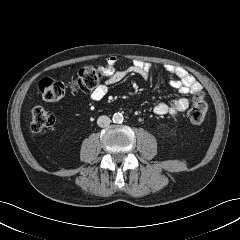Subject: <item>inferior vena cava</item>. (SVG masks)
Here are the masks:
<instances>
[{"label":"inferior vena cava","mask_w":240,"mask_h":240,"mask_svg":"<svg viewBox=\"0 0 240 240\" xmlns=\"http://www.w3.org/2000/svg\"><path fill=\"white\" fill-rule=\"evenodd\" d=\"M111 120L108 116L102 115L98 118L97 124L99 127H107L110 124Z\"/></svg>","instance_id":"602c4592"}]
</instances>
